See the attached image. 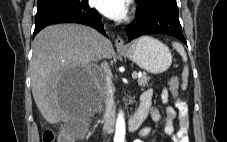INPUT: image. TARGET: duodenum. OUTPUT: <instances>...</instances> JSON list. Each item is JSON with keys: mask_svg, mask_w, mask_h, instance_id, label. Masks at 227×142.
<instances>
[{"mask_svg": "<svg viewBox=\"0 0 227 142\" xmlns=\"http://www.w3.org/2000/svg\"><path fill=\"white\" fill-rule=\"evenodd\" d=\"M148 115V107L140 102V105L136 112L128 119L127 125L129 131L133 132L136 131L145 118ZM115 124V117L114 114L109 111L105 115V125L104 128L106 131L111 132Z\"/></svg>", "mask_w": 227, "mask_h": 142, "instance_id": "410a0bca", "label": "duodenum"}]
</instances>
